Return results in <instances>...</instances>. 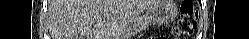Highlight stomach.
Listing matches in <instances>:
<instances>
[{
    "label": "stomach",
    "mask_w": 249,
    "mask_h": 39,
    "mask_svg": "<svg viewBox=\"0 0 249 39\" xmlns=\"http://www.w3.org/2000/svg\"><path fill=\"white\" fill-rule=\"evenodd\" d=\"M175 12L176 6L174 1L156 0V2L145 11L142 18H136L128 26L129 34H124L120 37H129L151 25L168 24L172 21Z\"/></svg>",
    "instance_id": "1"
}]
</instances>
